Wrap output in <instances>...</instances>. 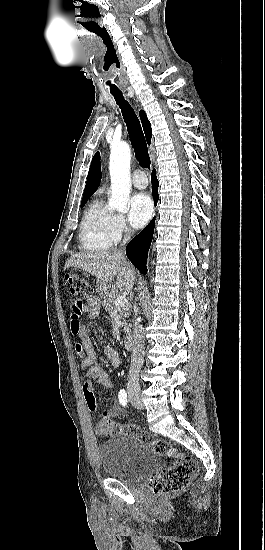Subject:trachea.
Returning a JSON list of instances; mask_svg holds the SVG:
<instances>
[{
  "label": "trachea",
  "instance_id": "1",
  "mask_svg": "<svg viewBox=\"0 0 265 550\" xmlns=\"http://www.w3.org/2000/svg\"><path fill=\"white\" fill-rule=\"evenodd\" d=\"M111 94L114 96L117 104L121 109L124 121L127 126L129 138L134 148L136 159L142 167L149 168L151 161L148 154L146 140L137 115L135 114L133 108L128 103V101L124 99L122 92L111 91Z\"/></svg>",
  "mask_w": 265,
  "mask_h": 550
}]
</instances>
